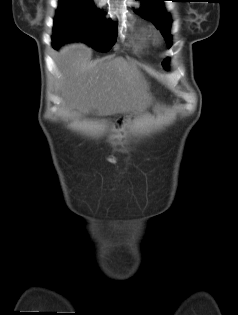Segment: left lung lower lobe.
Listing matches in <instances>:
<instances>
[{"label":"left lung lower lobe","instance_id":"0a47b994","mask_svg":"<svg viewBox=\"0 0 238 315\" xmlns=\"http://www.w3.org/2000/svg\"><path fill=\"white\" fill-rule=\"evenodd\" d=\"M171 46V41L168 43V48Z\"/></svg>","mask_w":238,"mask_h":315}]
</instances>
